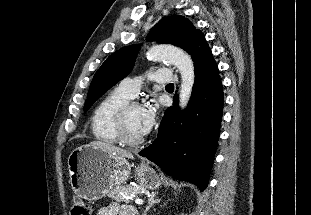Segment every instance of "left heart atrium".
<instances>
[{"instance_id":"1","label":"left heart atrium","mask_w":311,"mask_h":215,"mask_svg":"<svg viewBox=\"0 0 311 215\" xmlns=\"http://www.w3.org/2000/svg\"><path fill=\"white\" fill-rule=\"evenodd\" d=\"M156 120V107L154 105H148L141 109L139 116L138 127L142 136L147 135Z\"/></svg>"}]
</instances>
